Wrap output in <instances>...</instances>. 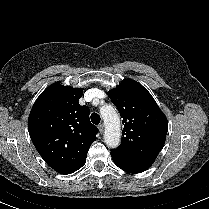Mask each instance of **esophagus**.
<instances>
[{
	"label": "esophagus",
	"mask_w": 209,
	"mask_h": 209,
	"mask_svg": "<svg viewBox=\"0 0 209 209\" xmlns=\"http://www.w3.org/2000/svg\"><path fill=\"white\" fill-rule=\"evenodd\" d=\"M98 129H99V131H100V133H103V131H104V124H99L98 125Z\"/></svg>",
	"instance_id": "34e87169"
}]
</instances>
